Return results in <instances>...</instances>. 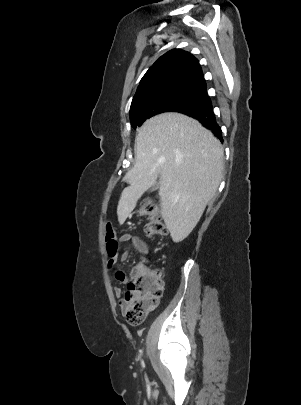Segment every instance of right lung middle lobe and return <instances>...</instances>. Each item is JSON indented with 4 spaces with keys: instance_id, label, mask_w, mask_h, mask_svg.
Returning a JSON list of instances; mask_svg holds the SVG:
<instances>
[{
    "instance_id": "dd1d6c3e",
    "label": "right lung middle lobe",
    "mask_w": 301,
    "mask_h": 405,
    "mask_svg": "<svg viewBox=\"0 0 301 405\" xmlns=\"http://www.w3.org/2000/svg\"><path fill=\"white\" fill-rule=\"evenodd\" d=\"M211 105L207 93L190 88H175L143 97L130 109L134 129L154 115Z\"/></svg>"
}]
</instances>
